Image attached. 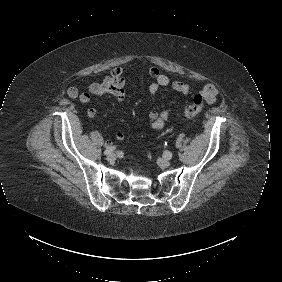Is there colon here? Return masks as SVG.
<instances>
[{
  "label": "colon",
  "instance_id": "5ec220e1",
  "mask_svg": "<svg viewBox=\"0 0 282 282\" xmlns=\"http://www.w3.org/2000/svg\"><path fill=\"white\" fill-rule=\"evenodd\" d=\"M205 103L206 101L204 95L202 94L195 95L192 103L185 110V116L187 118L195 117L200 113Z\"/></svg>",
  "mask_w": 282,
  "mask_h": 282
}]
</instances>
